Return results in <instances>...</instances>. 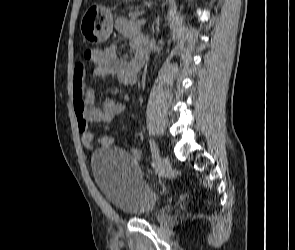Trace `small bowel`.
Returning <instances> with one entry per match:
<instances>
[{
	"label": "small bowel",
	"mask_w": 295,
	"mask_h": 250,
	"mask_svg": "<svg viewBox=\"0 0 295 250\" xmlns=\"http://www.w3.org/2000/svg\"><path fill=\"white\" fill-rule=\"evenodd\" d=\"M116 30L128 38L130 45L136 51L144 50L145 39L137 33L126 19L116 23ZM135 57L130 61L121 60L117 55V47L109 45L105 49H93L90 58L96 65L92 77H116L124 85H134L138 80L141 67H138ZM124 109L121 102L106 98L101 107L96 106L95 98L86 83V69L79 62L74 68V111L77 118L78 130L81 133L82 144L87 149H94L96 144L110 146L113 138L109 135L96 137L90 130L92 122H111ZM134 158H139L137 151H132Z\"/></svg>",
	"instance_id": "c3829d8e"
}]
</instances>
